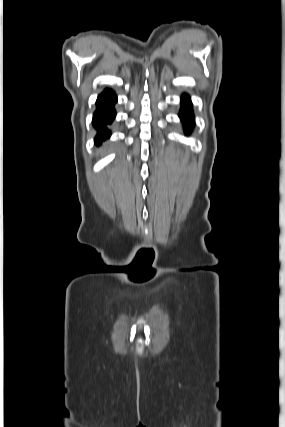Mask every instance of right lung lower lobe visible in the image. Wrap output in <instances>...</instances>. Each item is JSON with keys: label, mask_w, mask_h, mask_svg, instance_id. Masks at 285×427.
Instances as JSON below:
<instances>
[{"label": "right lung lower lobe", "mask_w": 285, "mask_h": 427, "mask_svg": "<svg viewBox=\"0 0 285 427\" xmlns=\"http://www.w3.org/2000/svg\"><path fill=\"white\" fill-rule=\"evenodd\" d=\"M116 101L117 97L115 93L108 89L100 94L97 99V109L93 116V125L98 130L95 138L97 145L110 136V131L106 128V125L111 124L115 118L114 104Z\"/></svg>", "instance_id": "obj_1"}]
</instances>
